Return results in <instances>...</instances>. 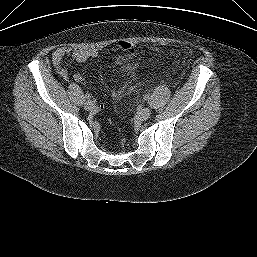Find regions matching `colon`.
<instances>
[{"label": "colon", "mask_w": 257, "mask_h": 257, "mask_svg": "<svg viewBox=\"0 0 257 257\" xmlns=\"http://www.w3.org/2000/svg\"><path fill=\"white\" fill-rule=\"evenodd\" d=\"M117 47L120 50H130L134 47L133 42L127 40V39H122L117 43Z\"/></svg>", "instance_id": "1"}]
</instances>
